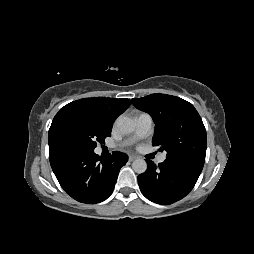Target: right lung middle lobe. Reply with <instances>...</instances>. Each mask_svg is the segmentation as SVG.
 Instances as JSON below:
<instances>
[{
    "instance_id": "dd1d6c3e",
    "label": "right lung middle lobe",
    "mask_w": 254,
    "mask_h": 254,
    "mask_svg": "<svg viewBox=\"0 0 254 254\" xmlns=\"http://www.w3.org/2000/svg\"><path fill=\"white\" fill-rule=\"evenodd\" d=\"M112 127L96 114L74 110L61 115L50 128L55 143H64L94 150L111 136Z\"/></svg>"
}]
</instances>
